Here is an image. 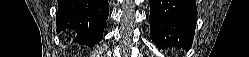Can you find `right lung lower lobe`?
<instances>
[{
	"label": "right lung lower lobe",
	"mask_w": 249,
	"mask_h": 57,
	"mask_svg": "<svg viewBox=\"0 0 249 57\" xmlns=\"http://www.w3.org/2000/svg\"><path fill=\"white\" fill-rule=\"evenodd\" d=\"M58 31L73 29L75 41L93 46L102 40L109 15L108 0H58Z\"/></svg>",
	"instance_id": "obj_1"
}]
</instances>
